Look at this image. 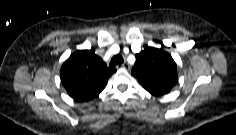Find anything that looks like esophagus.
<instances>
[{
	"label": "esophagus",
	"instance_id": "1",
	"mask_svg": "<svg viewBox=\"0 0 236 135\" xmlns=\"http://www.w3.org/2000/svg\"><path fill=\"white\" fill-rule=\"evenodd\" d=\"M121 67H123V68H125V69H129V65H128L126 62H124L123 64H121Z\"/></svg>",
	"mask_w": 236,
	"mask_h": 135
}]
</instances>
